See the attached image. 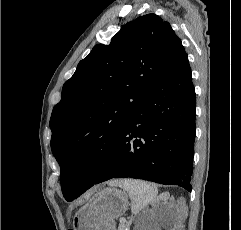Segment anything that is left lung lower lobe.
Returning a JSON list of instances; mask_svg holds the SVG:
<instances>
[{"label": "left lung lower lobe", "mask_w": 241, "mask_h": 230, "mask_svg": "<svg viewBox=\"0 0 241 230\" xmlns=\"http://www.w3.org/2000/svg\"><path fill=\"white\" fill-rule=\"evenodd\" d=\"M195 89L187 54L146 94L114 141L99 142L74 167L78 196L111 178H139L191 191Z\"/></svg>", "instance_id": "obj_1"}]
</instances>
